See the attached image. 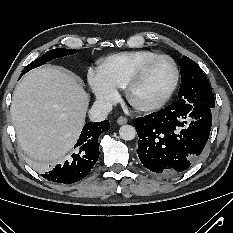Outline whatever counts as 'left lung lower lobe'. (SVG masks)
I'll return each instance as SVG.
<instances>
[{
  "label": "left lung lower lobe",
  "instance_id": "obj_1",
  "mask_svg": "<svg viewBox=\"0 0 233 233\" xmlns=\"http://www.w3.org/2000/svg\"><path fill=\"white\" fill-rule=\"evenodd\" d=\"M212 125V108L174 102L134 121L138 156L161 177L185 171L201 154Z\"/></svg>",
  "mask_w": 233,
  "mask_h": 233
}]
</instances>
